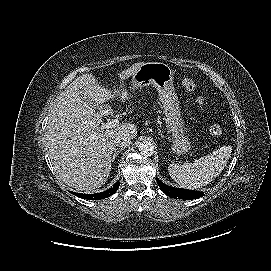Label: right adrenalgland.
Segmentation results:
<instances>
[{"mask_svg":"<svg viewBox=\"0 0 271 271\" xmlns=\"http://www.w3.org/2000/svg\"><path fill=\"white\" fill-rule=\"evenodd\" d=\"M123 149L121 148V149H119V148H117V149H115L114 150V152H113V156H112V162H114V160L116 159V157L119 155V153L122 151Z\"/></svg>","mask_w":271,"mask_h":271,"instance_id":"1","label":"right adrenal gland"}]
</instances>
